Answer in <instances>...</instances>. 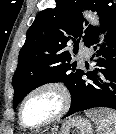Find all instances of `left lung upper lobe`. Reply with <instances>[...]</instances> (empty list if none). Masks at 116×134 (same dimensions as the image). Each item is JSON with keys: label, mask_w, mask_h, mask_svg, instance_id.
Segmentation results:
<instances>
[{"label": "left lung upper lobe", "mask_w": 116, "mask_h": 134, "mask_svg": "<svg viewBox=\"0 0 116 134\" xmlns=\"http://www.w3.org/2000/svg\"><path fill=\"white\" fill-rule=\"evenodd\" d=\"M55 2L52 8L38 13L27 31L12 79L14 110L30 91L51 82H64L73 97L82 70L75 69L70 63L72 58L66 49L67 43L73 41L77 47L82 40L88 46L98 31V28L88 25L81 11H97L102 25L108 12L115 7L112 0Z\"/></svg>", "instance_id": "5c2ea615"}]
</instances>
